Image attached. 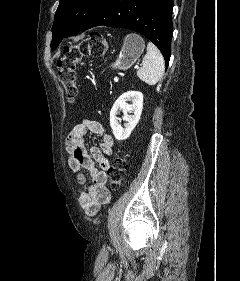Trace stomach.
Instances as JSON below:
<instances>
[{"mask_svg": "<svg viewBox=\"0 0 240 281\" xmlns=\"http://www.w3.org/2000/svg\"><path fill=\"white\" fill-rule=\"evenodd\" d=\"M145 47L144 40L137 34H129L125 37L122 49L116 61L111 67L114 69L127 70L141 56Z\"/></svg>", "mask_w": 240, "mask_h": 281, "instance_id": "1", "label": "stomach"}]
</instances>
